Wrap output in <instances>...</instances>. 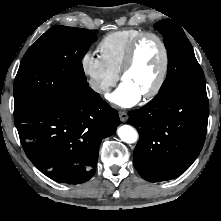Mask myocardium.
I'll return each mask as SVG.
<instances>
[{
    "label": "myocardium",
    "mask_w": 221,
    "mask_h": 221,
    "mask_svg": "<svg viewBox=\"0 0 221 221\" xmlns=\"http://www.w3.org/2000/svg\"><path fill=\"white\" fill-rule=\"evenodd\" d=\"M147 38L155 39L160 45L161 52H162V63H161V68H160L158 78L155 84L153 85V87L144 95H142L144 99H151L155 97L161 91L165 83L167 73H168V68H169V52H168L167 45L165 41L163 40V38L157 33L152 32V31H146V32L141 33L139 36H137L133 40V42L130 44L127 50L123 65L119 72V78L121 81H123L125 74L132 68L135 62L137 50L140 44L142 43L143 40Z\"/></svg>",
    "instance_id": "myocardium-1"
}]
</instances>
